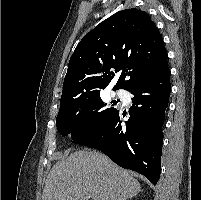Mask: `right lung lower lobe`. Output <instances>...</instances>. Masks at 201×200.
<instances>
[{
  "label": "right lung lower lobe",
  "instance_id": "98d812e1",
  "mask_svg": "<svg viewBox=\"0 0 201 200\" xmlns=\"http://www.w3.org/2000/svg\"><path fill=\"white\" fill-rule=\"evenodd\" d=\"M170 91L168 69L130 91L134 97L126 128H122V114L117 110L98 130L73 143L101 150L117 165L144 175L156 185L161 172L162 127Z\"/></svg>",
  "mask_w": 201,
  "mask_h": 200
}]
</instances>
